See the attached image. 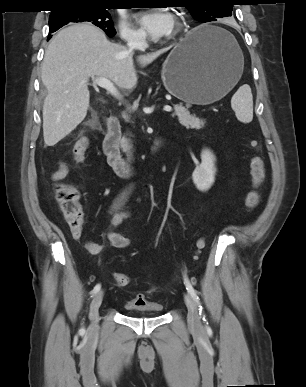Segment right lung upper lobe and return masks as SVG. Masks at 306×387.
<instances>
[{
	"instance_id": "right-lung-upper-lobe-1",
	"label": "right lung upper lobe",
	"mask_w": 306,
	"mask_h": 387,
	"mask_svg": "<svg viewBox=\"0 0 306 387\" xmlns=\"http://www.w3.org/2000/svg\"><path fill=\"white\" fill-rule=\"evenodd\" d=\"M56 1V9L52 12H56L61 8L71 7V6H109L111 5L112 0H55Z\"/></svg>"
}]
</instances>
